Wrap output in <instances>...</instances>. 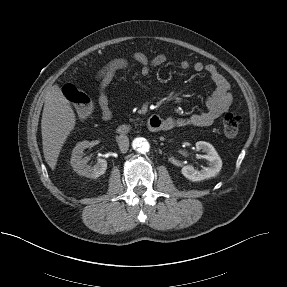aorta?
Returning <instances> with one entry per match:
<instances>
[{"label": "aorta", "mask_w": 287, "mask_h": 287, "mask_svg": "<svg viewBox=\"0 0 287 287\" xmlns=\"http://www.w3.org/2000/svg\"><path fill=\"white\" fill-rule=\"evenodd\" d=\"M132 147L137 152L144 154L149 151L150 144L145 138L138 137L133 140Z\"/></svg>", "instance_id": "762f6f07"}]
</instances>
